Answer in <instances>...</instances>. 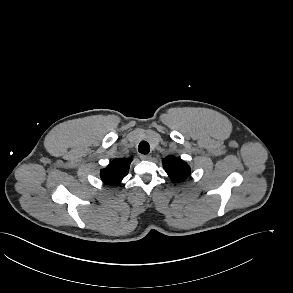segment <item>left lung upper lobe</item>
I'll return each instance as SVG.
<instances>
[{
    "mask_svg": "<svg viewBox=\"0 0 293 293\" xmlns=\"http://www.w3.org/2000/svg\"><path fill=\"white\" fill-rule=\"evenodd\" d=\"M162 163L166 173L174 182L186 180L191 173L189 165L180 158L167 156L162 160Z\"/></svg>",
    "mask_w": 293,
    "mask_h": 293,
    "instance_id": "5c2ea615",
    "label": "left lung upper lobe"
}]
</instances>
